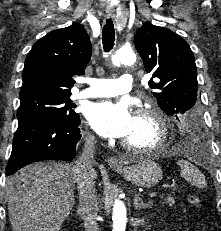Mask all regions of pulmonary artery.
Masks as SVG:
<instances>
[{"mask_svg":"<svg viewBox=\"0 0 221 231\" xmlns=\"http://www.w3.org/2000/svg\"><path fill=\"white\" fill-rule=\"evenodd\" d=\"M89 87L78 93L80 98L110 97L124 94L132 89L133 76L129 73L123 74L119 79H90Z\"/></svg>","mask_w":221,"mask_h":231,"instance_id":"e3ab8cb5","label":"pulmonary artery"}]
</instances>
